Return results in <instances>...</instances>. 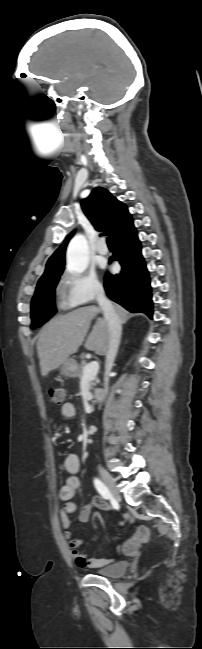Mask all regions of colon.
<instances>
[{"label":"colon","mask_w":202,"mask_h":649,"mask_svg":"<svg viewBox=\"0 0 202 649\" xmlns=\"http://www.w3.org/2000/svg\"><path fill=\"white\" fill-rule=\"evenodd\" d=\"M50 400L55 404H62L65 399V391L62 388L55 387L48 390ZM149 540V530L145 526L137 528L133 536L124 544V552L126 554L135 553L138 548L147 543Z\"/></svg>","instance_id":"1"}]
</instances>
